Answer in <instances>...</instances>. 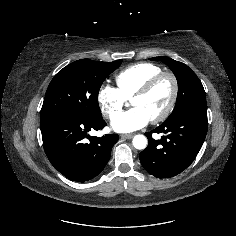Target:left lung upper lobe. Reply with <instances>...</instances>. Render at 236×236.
Wrapping results in <instances>:
<instances>
[{
	"mask_svg": "<svg viewBox=\"0 0 236 236\" xmlns=\"http://www.w3.org/2000/svg\"><path fill=\"white\" fill-rule=\"evenodd\" d=\"M160 60L173 71L178 81V95L173 112L165 122L171 121L196 107H206L203 85L196 74L184 63L166 56L150 58Z\"/></svg>",
	"mask_w": 236,
	"mask_h": 236,
	"instance_id": "5c2ea615",
	"label": "left lung upper lobe"
}]
</instances>
